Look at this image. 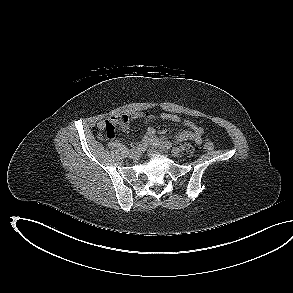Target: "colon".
Segmentation results:
<instances>
[{
	"label": "colon",
	"instance_id": "1",
	"mask_svg": "<svg viewBox=\"0 0 293 293\" xmlns=\"http://www.w3.org/2000/svg\"><path fill=\"white\" fill-rule=\"evenodd\" d=\"M120 123V120L117 119H109L106 121V125L104 128L103 136L107 139H111L114 137L115 126ZM170 146H163L162 149H168ZM204 147L207 151H211L214 148V145L211 140L207 139L205 141Z\"/></svg>",
	"mask_w": 293,
	"mask_h": 293
}]
</instances>
